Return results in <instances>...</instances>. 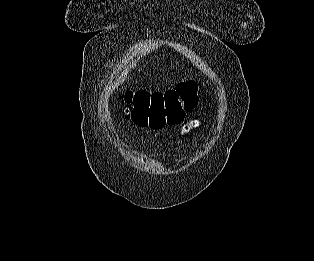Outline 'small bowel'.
Segmentation results:
<instances>
[{"label": "small bowel", "instance_id": "obj_1", "mask_svg": "<svg viewBox=\"0 0 314 261\" xmlns=\"http://www.w3.org/2000/svg\"><path fill=\"white\" fill-rule=\"evenodd\" d=\"M185 128H186V130H188V131H189V130H191V128H192V127H191V125H189V124H188V125H186V127H185ZM179 133H180V135H182V136H183V135H185V133H186V132H185V130H183V129H182V130H180V132H179ZM172 137H173V139L177 140V139H179V137H180V136H179V134L175 133V134H173V136H172Z\"/></svg>", "mask_w": 314, "mask_h": 261}]
</instances>
